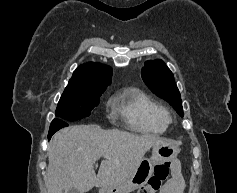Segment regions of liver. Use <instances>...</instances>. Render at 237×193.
Listing matches in <instances>:
<instances>
[{"label": "liver", "instance_id": "6515ba94", "mask_svg": "<svg viewBox=\"0 0 237 193\" xmlns=\"http://www.w3.org/2000/svg\"><path fill=\"white\" fill-rule=\"evenodd\" d=\"M166 140L153 135L137 136L118 129L104 130L95 124L75 125L54 135L48 150V193H85L107 187L130 176L145 153ZM103 157L98 174L94 164Z\"/></svg>", "mask_w": 237, "mask_h": 193}]
</instances>
